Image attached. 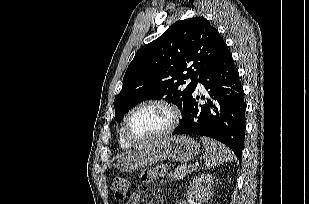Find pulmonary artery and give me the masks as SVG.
I'll return each instance as SVG.
<instances>
[{
  "mask_svg": "<svg viewBox=\"0 0 309 204\" xmlns=\"http://www.w3.org/2000/svg\"><path fill=\"white\" fill-rule=\"evenodd\" d=\"M197 88H198L199 90H201V91L204 89V88H203V85H202L201 83H198V84H197Z\"/></svg>",
  "mask_w": 309,
  "mask_h": 204,
  "instance_id": "pulmonary-artery-1",
  "label": "pulmonary artery"
}]
</instances>
